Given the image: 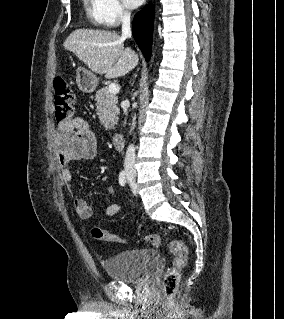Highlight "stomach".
<instances>
[{"instance_id": "0dacf381", "label": "stomach", "mask_w": 284, "mask_h": 319, "mask_svg": "<svg viewBox=\"0 0 284 319\" xmlns=\"http://www.w3.org/2000/svg\"><path fill=\"white\" fill-rule=\"evenodd\" d=\"M76 83L82 92L91 93L97 87L98 78L91 71L79 67L76 73Z\"/></svg>"}]
</instances>
